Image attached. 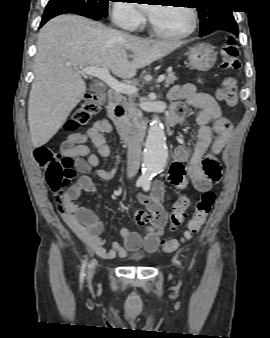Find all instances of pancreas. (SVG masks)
Here are the masks:
<instances>
[{"label": "pancreas", "mask_w": 270, "mask_h": 338, "mask_svg": "<svg viewBox=\"0 0 270 338\" xmlns=\"http://www.w3.org/2000/svg\"><path fill=\"white\" fill-rule=\"evenodd\" d=\"M177 80L174 72H169L165 79V87H169ZM134 97L130 96L128 101H124L123 109L125 114L119 118V125L123 126L131 125L132 123H138L142 117V112L136 107L134 103Z\"/></svg>", "instance_id": "cf45deb5"}]
</instances>
